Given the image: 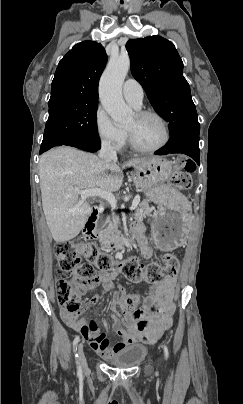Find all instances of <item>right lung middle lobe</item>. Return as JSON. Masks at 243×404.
I'll list each match as a JSON object with an SVG mask.
<instances>
[{
    "label": "right lung middle lobe",
    "instance_id": "right-lung-middle-lobe-1",
    "mask_svg": "<svg viewBox=\"0 0 243 404\" xmlns=\"http://www.w3.org/2000/svg\"><path fill=\"white\" fill-rule=\"evenodd\" d=\"M97 106L98 102H64L49 106L40 153L54 146L67 145L72 139L100 142L96 125Z\"/></svg>",
    "mask_w": 243,
    "mask_h": 404
}]
</instances>
